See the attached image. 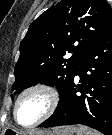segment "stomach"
<instances>
[{
	"instance_id": "obj_1",
	"label": "stomach",
	"mask_w": 112,
	"mask_h": 135,
	"mask_svg": "<svg viewBox=\"0 0 112 135\" xmlns=\"http://www.w3.org/2000/svg\"><path fill=\"white\" fill-rule=\"evenodd\" d=\"M84 129L81 127L76 126H66V127H60L56 128L50 132H43V131H32L29 133H20L15 130L7 129L4 134H10V135H83Z\"/></svg>"
}]
</instances>
